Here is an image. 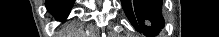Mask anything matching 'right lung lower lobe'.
Returning <instances> with one entry per match:
<instances>
[{
  "label": "right lung lower lobe",
  "instance_id": "right-lung-lower-lobe-1",
  "mask_svg": "<svg viewBox=\"0 0 219 37\" xmlns=\"http://www.w3.org/2000/svg\"><path fill=\"white\" fill-rule=\"evenodd\" d=\"M72 4V0H48L46 6L58 18H63L69 12Z\"/></svg>",
  "mask_w": 219,
  "mask_h": 37
}]
</instances>
